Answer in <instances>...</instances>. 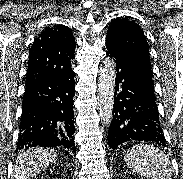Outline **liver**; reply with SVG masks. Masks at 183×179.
<instances>
[{
  "label": "liver",
  "instance_id": "liver-1",
  "mask_svg": "<svg viewBox=\"0 0 183 179\" xmlns=\"http://www.w3.org/2000/svg\"><path fill=\"white\" fill-rule=\"evenodd\" d=\"M56 153L48 148H30L18 155L13 179H30L55 160Z\"/></svg>",
  "mask_w": 183,
  "mask_h": 179
}]
</instances>
